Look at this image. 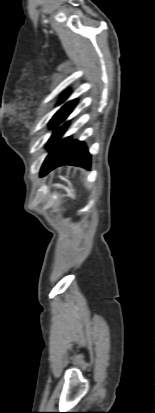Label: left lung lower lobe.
<instances>
[{"label": "left lung lower lobe", "instance_id": "1", "mask_svg": "<svg viewBox=\"0 0 155 413\" xmlns=\"http://www.w3.org/2000/svg\"><path fill=\"white\" fill-rule=\"evenodd\" d=\"M58 144L63 146L62 149L43 163L40 176H44L56 167L63 165H74L90 169L91 155L82 141L71 142L70 137H68L56 142L54 146L56 147Z\"/></svg>", "mask_w": 155, "mask_h": 413}]
</instances>
